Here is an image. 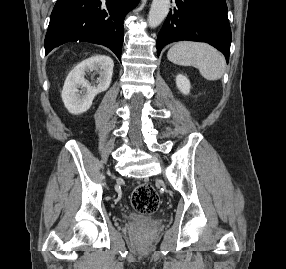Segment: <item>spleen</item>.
<instances>
[{
  "label": "spleen",
  "instance_id": "spleen-1",
  "mask_svg": "<svg viewBox=\"0 0 286 269\" xmlns=\"http://www.w3.org/2000/svg\"><path fill=\"white\" fill-rule=\"evenodd\" d=\"M167 58L177 65L197 68L209 81L220 79L226 64L224 56L219 51L200 42H178L169 49Z\"/></svg>",
  "mask_w": 286,
  "mask_h": 269
}]
</instances>
